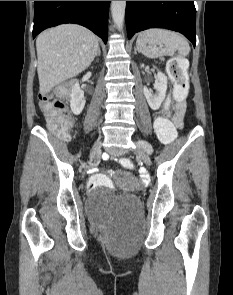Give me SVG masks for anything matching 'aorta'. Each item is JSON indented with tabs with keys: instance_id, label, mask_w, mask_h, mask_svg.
I'll return each instance as SVG.
<instances>
[{
	"instance_id": "aorta-1",
	"label": "aorta",
	"mask_w": 233,
	"mask_h": 295,
	"mask_svg": "<svg viewBox=\"0 0 233 295\" xmlns=\"http://www.w3.org/2000/svg\"><path fill=\"white\" fill-rule=\"evenodd\" d=\"M126 1H111V14L115 26L122 30L125 17Z\"/></svg>"
}]
</instances>
